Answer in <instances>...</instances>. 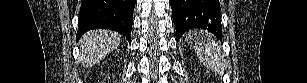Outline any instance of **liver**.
I'll list each match as a JSON object with an SVG mask.
<instances>
[{"label": "liver", "instance_id": "6515ba94", "mask_svg": "<svg viewBox=\"0 0 307 83\" xmlns=\"http://www.w3.org/2000/svg\"><path fill=\"white\" fill-rule=\"evenodd\" d=\"M121 43V35L106 30L87 32L80 40L83 66L91 67L99 63L109 52L117 49Z\"/></svg>", "mask_w": 307, "mask_h": 83}]
</instances>
